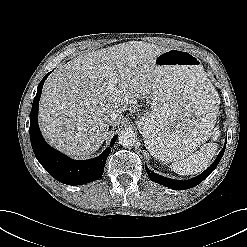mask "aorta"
I'll list each match as a JSON object with an SVG mask.
<instances>
[{"label":"aorta","mask_w":247,"mask_h":247,"mask_svg":"<svg viewBox=\"0 0 247 247\" xmlns=\"http://www.w3.org/2000/svg\"><path fill=\"white\" fill-rule=\"evenodd\" d=\"M118 140L121 145L128 147L135 143L136 137L133 131L127 129L120 132Z\"/></svg>","instance_id":"1"}]
</instances>
